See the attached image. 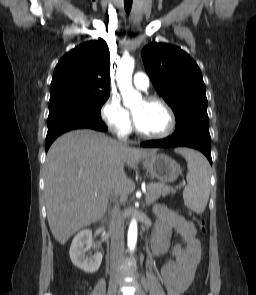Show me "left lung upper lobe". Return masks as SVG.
<instances>
[{
	"instance_id": "obj_1",
	"label": "left lung upper lobe",
	"mask_w": 256,
	"mask_h": 295,
	"mask_svg": "<svg viewBox=\"0 0 256 295\" xmlns=\"http://www.w3.org/2000/svg\"><path fill=\"white\" fill-rule=\"evenodd\" d=\"M142 59L155 89L175 114V132L209 130L205 84L196 62L181 48L165 43L145 46Z\"/></svg>"
}]
</instances>
